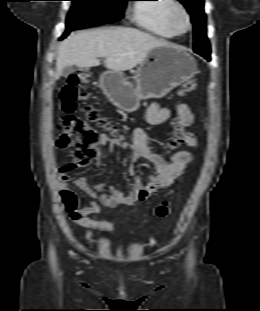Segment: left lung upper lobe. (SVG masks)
Segmentation results:
<instances>
[{
    "label": "left lung upper lobe",
    "mask_w": 260,
    "mask_h": 311,
    "mask_svg": "<svg viewBox=\"0 0 260 311\" xmlns=\"http://www.w3.org/2000/svg\"><path fill=\"white\" fill-rule=\"evenodd\" d=\"M179 1L185 5L192 17V23L194 25V51L210 53V45L206 36V16L203 10L204 0Z\"/></svg>",
    "instance_id": "5c2ea615"
}]
</instances>
